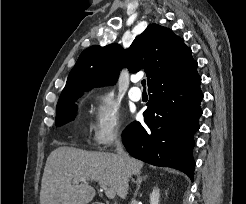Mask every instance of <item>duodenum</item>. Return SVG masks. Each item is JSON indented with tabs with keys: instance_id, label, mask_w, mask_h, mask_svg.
Masks as SVG:
<instances>
[{
	"instance_id": "duodenum-1",
	"label": "duodenum",
	"mask_w": 246,
	"mask_h": 204,
	"mask_svg": "<svg viewBox=\"0 0 246 204\" xmlns=\"http://www.w3.org/2000/svg\"><path fill=\"white\" fill-rule=\"evenodd\" d=\"M94 204H103V203H94Z\"/></svg>"
}]
</instances>
